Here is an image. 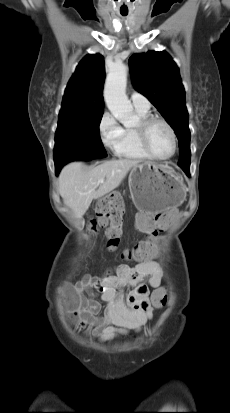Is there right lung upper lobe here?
<instances>
[{
	"mask_svg": "<svg viewBox=\"0 0 230 413\" xmlns=\"http://www.w3.org/2000/svg\"><path fill=\"white\" fill-rule=\"evenodd\" d=\"M104 58L89 54L78 64L65 89L61 119H87L103 115Z\"/></svg>",
	"mask_w": 230,
	"mask_h": 413,
	"instance_id": "obj_1",
	"label": "right lung upper lobe"
}]
</instances>
